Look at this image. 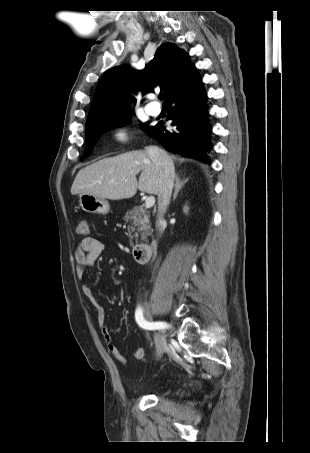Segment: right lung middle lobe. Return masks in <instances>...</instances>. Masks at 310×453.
Listing matches in <instances>:
<instances>
[{"mask_svg": "<svg viewBox=\"0 0 310 453\" xmlns=\"http://www.w3.org/2000/svg\"><path fill=\"white\" fill-rule=\"evenodd\" d=\"M128 117H129V114L125 115L123 117H120L116 120L102 123V124L96 125L94 127H91L89 129H86L87 147H86L84 154L81 157V160L88 157L92 153L93 146L101 134H103L104 132H106L107 130H109L111 128L118 126L120 123L125 122V120ZM143 128L146 130L149 129L148 124H145Z\"/></svg>", "mask_w": 310, "mask_h": 453, "instance_id": "obj_1", "label": "right lung middle lobe"}]
</instances>
